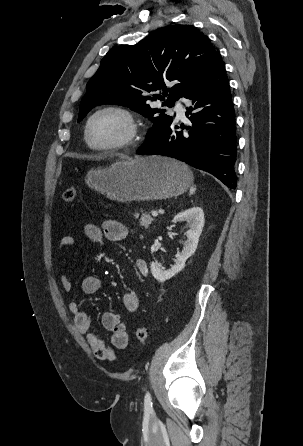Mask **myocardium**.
Returning <instances> with one entry per match:
<instances>
[{
  "mask_svg": "<svg viewBox=\"0 0 303 446\" xmlns=\"http://www.w3.org/2000/svg\"><path fill=\"white\" fill-rule=\"evenodd\" d=\"M103 113H114L120 116L126 126V135L118 142L105 146H96L90 141L89 131L93 120ZM141 124L134 111L119 105H106L95 110L87 119L84 128V139L89 148L95 151L112 152L124 149L134 144L140 136Z\"/></svg>",
  "mask_w": 303,
  "mask_h": 446,
  "instance_id": "f54148a6",
  "label": "myocardium"
}]
</instances>
